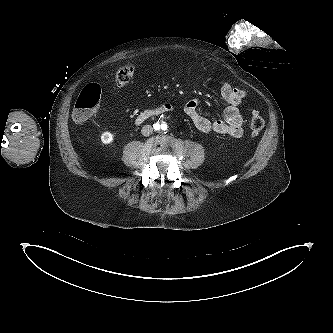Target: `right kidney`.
Segmentation results:
<instances>
[{"mask_svg": "<svg viewBox=\"0 0 333 333\" xmlns=\"http://www.w3.org/2000/svg\"><path fill=\"white\" fill-rule=\"evenodd\" d=\"M114 140V135L110 132H104L102 135H101V141L102 143L104 144H110L112 143Z\"/></svg>", "mask_w": 333, "mask_h": 333, "instance_id": "ca27d5eb", "label": "right kidney"}]
</instances>
